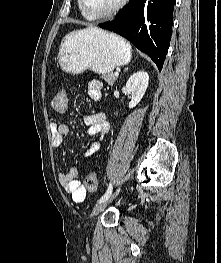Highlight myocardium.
<instances>
[{"mask_svg": "<svg viewBox=\"0 0 221 263\" xmlns=\"http://www.w3.org/2000/svg\"><path fill=\"white\" fill-rule=\"evenodd\" d=\"M127 2L128 0H120L112 9L100 14H93L89 12V10L86 8L85 0H79V6L87 18L92 20H99L116 15L126 5Z\"/></svg>", "mask_w": 221, "mask_h": 263, "instance_id": "1", "label": "myocardium"}]
</instances>
